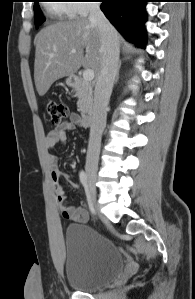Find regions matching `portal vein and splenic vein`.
I'll return each instance as SVG.
<instances>
[{
    "mask_svg": "<svg viewBox=\"0 0 195 299\" xmlns=\"http://www.w3.org/2000/svg\"><path fill=\"white\" fill-rule=\"evenodd\" d=\"M71 53H76L75 49L71 50ZM83 79L85 81H92L94 79V71L92 69H85L83 72Z\"/></svg>",
    "mask_w": 195,
    "mask_h": 299,
    "instance_id": "portal-vein-and-splenic-vein-1",
    "label": "portal vein and splenic vein"
}]
</instances>
